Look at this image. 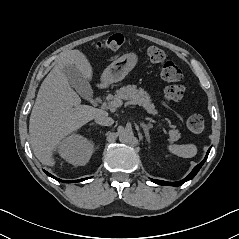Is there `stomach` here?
<instances>
[{
	"label": "stomach",
	"mask_w": 239,
	"mask_h": 239,
	"mask_svg": "<svg viewBox=\"0 0 239 239\" xmlns=\"http://www.w3.org/2000/svg\"><path fill=\"white\" fill-rule=\"evenodd\" d=\"M137 62L138 55L136 53L122 55L104 70L101 76L102 84L107 86L121 81L135 67Z\"/></svg>",
	"instance_id": "stomach-1"
}]
</instances>
